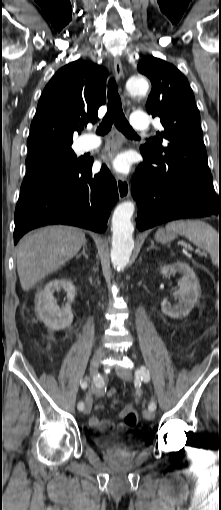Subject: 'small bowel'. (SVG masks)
Listing matches in <instances>:
<instances>
[{"label":"small bowel","mask_w":221,"mask_h":510,"mask_svg":"<svg viewBox=\"0 0 221 510\" xmlns=\"http://www.w3.org/2000/svg\"><path fill=\"white\" fill-rule=\"evenodd\" d=\"M94 392L97 396H101L103 393V389L101 388V386H98L94 389ZM103 408L104 407L102 404H97L94 409H95V412H100L103 410ZM132 410H133V407L131 405L125 406L123 408V410L120 412L119 417L120 418L126 417V415ZM89 424L91 427H93L97 430H100L102 432H109V431H113V430H123V429H127L130 427L126 424H115L114 422H112L110 420H102L96 414L91 415V417L89 418Z\"/></svg>","instance_id":"small-bowel-1"}]
</instances>
